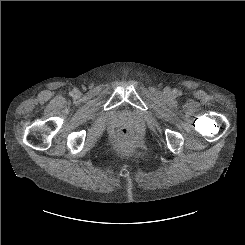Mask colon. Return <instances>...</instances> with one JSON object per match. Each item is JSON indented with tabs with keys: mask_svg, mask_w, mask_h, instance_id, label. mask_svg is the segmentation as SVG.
Instances as JSON below:
<instances>
[{
	"mask_svg": "<svg viewBox=\"0 0 245 245\" xmlns=\"http://www.w3.org/2000/svg\"><path fill=\"white\" fill-rule=\"evenodd\" d=\"M117 140L121 143H129L131 141V134L128 129H120L117 134Z\"/></svg>",
	"mask_w": 245,
	"mask_h": 245,
	"instance_id": "1",
	"label": "colon"
}]
</instances>
